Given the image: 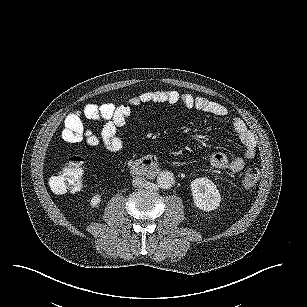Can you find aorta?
I'll return each mask as SVG.
<instances>
[{
	"instance_id": "1",
	"label": "aorta",
	"mask_w": 307,
	"mask_h": 307,
	"mask_svg": "<svg viewBox=\"0 0 307 307\" xmlns=\"http://www.w3.org/2000/svg\"><path fill=\"white\" fill-rule=\"evenodd\" d=\"M157 184L161 189H171L175 184V177L173 172L163 170L157 177Z\"/></svg>"
}]
</instances>
